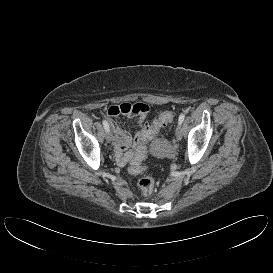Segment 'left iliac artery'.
Wrapping results in <instances>:
<instances>
[{"label": "left iliac artery", "mask_w": 273, "mask_h": 273, "mask_svg": "<svg viewBox=\"0 0 273 273\" xmlns=\"http://www.w3.org/2000/svg\"><path fill=\"white\" fill-rule=\"evenodd\" d=\"M184 119H185V114L181 113L180 116H179V119H178L179 123L182 124Z\"/></svg>", "instance_id": "44dca946"}]
</instances>
